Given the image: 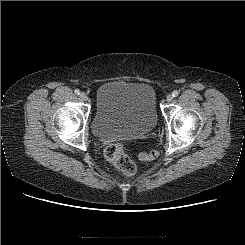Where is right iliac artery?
<instances>
[{
    "instance_id": "82829eb1",
    "label": "right iliac artery",
    "mask_w": 245,
    "mask_h": 245,
    "mask_svg": "<svg viewBox=\"0 0 245 245\" xmlns=\"http://www.w3.org/2000/svg\"><path fill=\"white\" fill-rule=\"evenodd\" d=\"M74 92H75L76 95L80 94V90L79 89H76Z\"/></svg>"
}]
</instances>
